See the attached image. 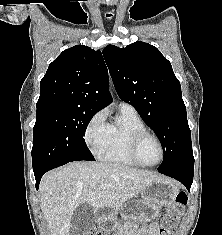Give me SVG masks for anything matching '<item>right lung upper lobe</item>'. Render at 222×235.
<instances>
[{"label": "right lung upper lobe", "instance_id": "1", "mask_svg": "<svg viewBox=\"0 0 222 235\" xmlns=\"http://www.w3.org/2000/svg\"><path fill=\"white\" fill-rule=\"evenodd\" d=\"M111 101L102 53L76 45L50 63L41 80L37 112L57 106L98 112Z\"/></svg>", "mask_w": 222, "mask_h": 235}]
</instances>
